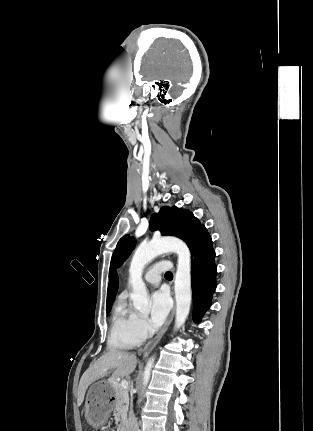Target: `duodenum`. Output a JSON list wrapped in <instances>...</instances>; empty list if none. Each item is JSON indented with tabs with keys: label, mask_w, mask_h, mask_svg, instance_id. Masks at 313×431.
Instances as JSON below:
<instances>
[{
	"label": "duodenum",
	"mask_w": 313,
	"mask_h": 431,
	"mask_svg": "<svg viewBox=\"0 0 313 431\" xmlns=\"http://www.w3.org/2000/svg\"><path fill=\"white\" fill-rule=\"evenodd\" d=\"M119 431H131L129 425L124 423L120 426Z\"/></svg>",
	"instance_id": "duodenum-1"
}]
</instances>
